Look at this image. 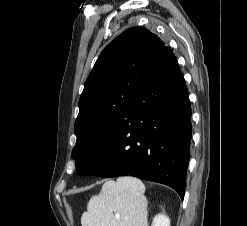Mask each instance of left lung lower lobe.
Listing matches in <instances>:
<instances>
[{
	"label": "left lung lower lobe",
	"instance_id": "left-lung-lower-lobe-1",
	"mask_svg": "<svg viewBox=\"0 0 247 226\" xmlns=\"http://www.w3.org/2000/svg\"><path fill=\"white\" fill-rule=\"evenodd\" d=\"M191 132L188 90L176 57L165 46L81 175H131L168 185L183 199Z\"/></svg>",
	"mask_w": 247,
	"mask_h": 226
}]
</instances>
